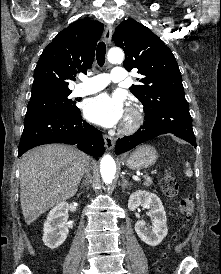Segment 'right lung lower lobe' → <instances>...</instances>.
I'll return each instance as SVG.
<instances>
[{"mask_svg": "<svg viewBox=\"0 0 221 274\" xmlns=\"http://www.w3.org/2000/svg\"><path fill=\"white\" fill-rule=\"evenodd\" d=\"M48 143L76 145L96 159L105 150L101 131L82 120L80 111L74 114L55 111L25 118L18 157L31 148Z\"/></svg>", "mask_w": 221, "mask_h": 274, "instance_id": "obj_1", "label": "right lung lower lobe"}]
</instances>
